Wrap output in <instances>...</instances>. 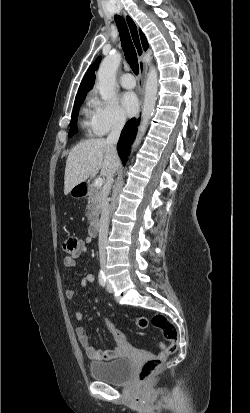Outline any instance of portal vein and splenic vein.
<instances>
[{"label":"portal vein and splenic vein","mask_w":250,"mask_h":413,"mask_svg":"<svg viewBox=\"0 0 250 413\" xmlns=\"http://www.w3.org/2000/svg\"><path fill=\"white\" fill-rule=\"evenodd\" d=\"M104 180L102 178H97L94 182L95 186L102 187Z\"/></svg>","instance_id":"obj_1"}]
</instances>
